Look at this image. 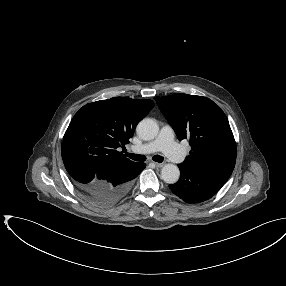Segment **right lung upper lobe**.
I'll return each mask as SVG.
<instances>
[{
  "mask_svg": "<svg viewBox=\"0 0 286 286\" xmlns=\"http://www.w3.org/2000/svg\"><path fill=\"white\" fill-rule=\"evenodd\" d=\"M154 107L149 99L114 97L83 106L72 118L63 145L80 147L103 173L133 164L117 148L129 143L138 121Z\"/></svg>",
  "mask_w": 286,
  "mask_h": 286,
  "instance_id": "obj_1",
  "label": "right lung upper lobe"
}]
</instances>
